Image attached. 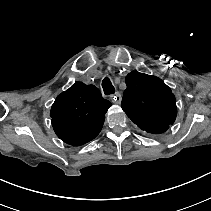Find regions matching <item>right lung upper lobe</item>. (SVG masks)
Listing matches in <instances>:
<instances>
[{"label": "right lung upper lobe", "mask_w": 211, "mask_h": 211, "mask_svg": "<svg viewBox=\"0 0 211 211\" xmlns=\"http://www.w3.org/2000/svg\"><path fill=\"white\" fill-rule=\"evenodd\" d=\"M110 106L97 87L76 82L53 103L52 126L65 143L83 145L99 134Z\"/></svg>", "instance_id": "cb5924a9"}]
</instances>
